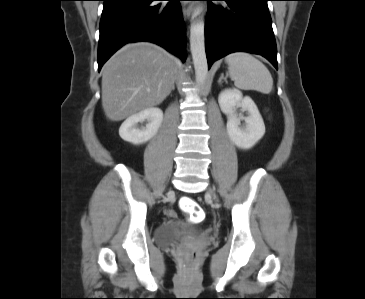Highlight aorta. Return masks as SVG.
Returning <instances> with one entry per match:
<instances>
[{
	"label": "aorta",
	"mask_w": 365,
	"mask_h": 299,
	"mask_svg": "<svg viewBox=\"0 0 365 299\" xmlns=\"http://www.w3.org/2000/svg\"><path fill=\"white\" fill-rule=\"evenodd\" d=\"M201 9L194 10L190 28V48L195 68L196 81L202 85L207 79L208 63L205 52V24Z\"/></svg>",
	"instance_id": "762f6f07"
}]
</instances>
